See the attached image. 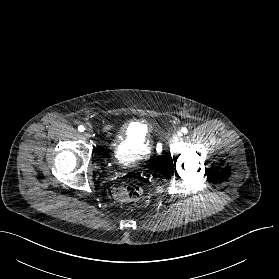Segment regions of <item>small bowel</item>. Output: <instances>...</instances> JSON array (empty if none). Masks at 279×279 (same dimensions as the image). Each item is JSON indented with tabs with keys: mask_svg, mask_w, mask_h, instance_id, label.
Segmentation results:
<instances>
[{
	"mask_svg": "<svg viewBox=\"0 0 279 279\" xmlns=\"http://www.w3.org/2000/svg\"><path fill=\"white\" fill-rule=\"evenodd\" d=\"M113 129H114V126H113V125H106V126L104 127V131L106 132V134H107L108 136L111 135Z\"/></svg>",
	"mask_w": 279,
	"mask_h": 279,
	"instance_id": "1",
	"label": "small bowel"
}]
</instances>
